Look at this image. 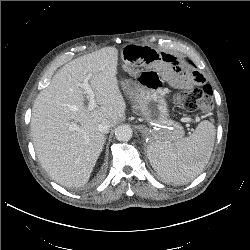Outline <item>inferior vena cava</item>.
I'll list each match as a JSON object with an SVG mask.
<instances>
[{
	"label": "inferior vena cava",
	"instance_id": "inferior-vena-cava-1",
	"mask_svg": "<svg viewBox=\"0 0 250 250\" xmlns=\"http://www.w3.org/2000/svg\"><path fill=\"white\" fill-rule=\"evenodd\" d=\"M111 125L108 122H102L98 125V130L102 133H108Z\"/></svg>",
	"mask_w": 250,
	"mask_h": 250
}]
</instances>
